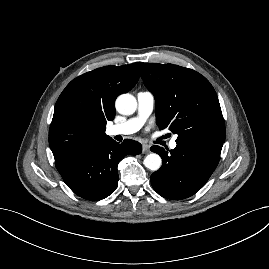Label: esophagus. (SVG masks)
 <instances>
[{"instance_id": "obj_1", "label": "esophagus", "mask_w": 269, "mask_h": 269, "mask_svg": "<svg viewBox=\"0 0 269 269\" xmlns=\"http://www.w3.org/2000/svg\"><path fill=\"white\" fill-rule=\"evenodd\" d=\"M142 152H143L144 154L149 153V152H150L149 146L144 144V145L142 146Z\"/></svg>"}]
</instances>
